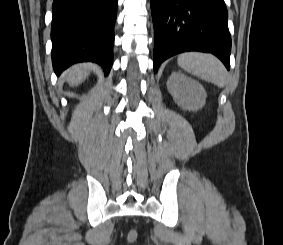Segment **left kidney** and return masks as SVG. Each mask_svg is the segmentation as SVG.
<instances>
[{"mask_svg": "<svg viewBox=\"0 0 283 245\" xmlns=\"http://www.w3.org/2000/svg\"><path fill=\"white\" fill-rule=\"evenodd\" d=\"M167 87L174 101L185 110L196 111L205 105L207 94L203 86L180 72L170 75Z\"/></svg>", "mask_w": 283, "mask_h": 245, "instance_id": "obj_1", "label": "left kidney"}]
</instances>
